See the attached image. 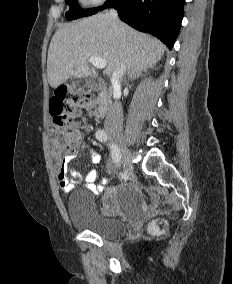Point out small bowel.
I'll return each instance as SVG.
<instances>
[{"label": "small bowel", "mask_w": 233, "mask_h": 284, "mask_svg": "<svg viewBox=\"0 0 233 284\" xmlns=\"http://www.w3.org/2000/svg\"><path fill=\"white\" fill-rule=\"evenodd\" d=\"M81 151H85L91 162L93 164H98L100 162V155L97 152V150H95L92 146L88 145V144H83L80 147ZM75 157V154L72 155H68L66 156L62 162H61V167L60 170L58 172V183L60 185V187L66 191L69 192L71 191L76 185L78 184H83L85 187H87L88 189H90L91 191L95 192V193H99L102 192L105 188V185L107 184V179H103L101 181L100 184L95 185L94 182L97 179L98 176V171L96 169L91 170L89 173H87L85 176L83 177H78L75 181H71L67 175V171H68V164L69 162ZM111 208L110 203L108 202H104L103 204V211L104 212H108Z\"/></svg>", "instance_id": "1"}]
</instances>
